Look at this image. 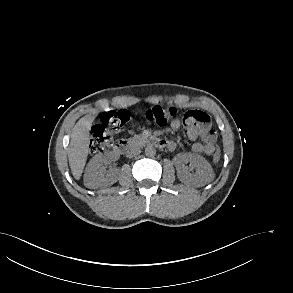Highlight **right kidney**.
Here are the masks:
<instances>
[{
  "mask_svg": "<svg viewBox=\"0 0 293 293\" xmlns=\"http://www.w3.org/2000/svg\"><path fill=\"white\" fill-rule=\"evenodd\" d=\"M107 162H109V157L103 153L95 155L89 161L84 174V185L86 187L96 189L101 186L112 185L117 181V172H107L103 167V164Z\"/></svg>",
  "mask_w": 293,
  "mask_h": 293,
  "instance_id": "ca27d5eb",
  "label": "right kidney"
}]
</instances>
